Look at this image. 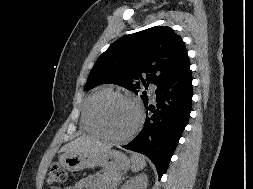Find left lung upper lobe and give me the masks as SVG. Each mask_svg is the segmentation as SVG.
<instances>
[{
  "instance_id": "obj_1",
  "label": "left lung upper lobe",
  "mask_w": 253,
  "mask_h": 189,
  "mask_svg": "<svg viewBox=\"0 0 253 189\" xmlns=\"http://www.w3.org/2000/svg\"><path fill=\"white\" fill-rule=\"evenodd\" d=\"M186 58L181 37L170 27L155 26L114 42L98 58L84 90L111 83L137 94L140 80L145 87L152 83L158 89L176 74ZM142 94L146 104L147 93Z\"/></svg>"
}]
</instances>
